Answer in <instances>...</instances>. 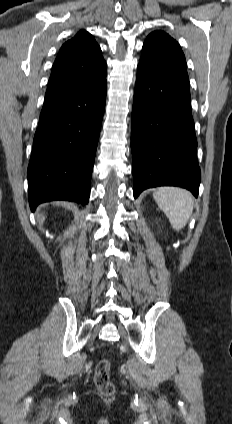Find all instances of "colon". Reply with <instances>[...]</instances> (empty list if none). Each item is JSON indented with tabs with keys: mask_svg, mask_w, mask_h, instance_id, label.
<instances>
[{
	"mask_svg": "<svg viewBox=\"0 0 232 424\" xmlns=\"http://www.w3.org/2000/svg\"><path fill=\"white\" fill-rule=\"evenodd\" d=\"M111 362L108 359H102L97 363L94 382L98 391L105 395L111 396L115 392V386L110 378Z\"/></svg>",
	"mask_w": 232,
	"mask_h": 424,
	"instance_id": "obj_1",
	"label": "colon"
}]
</instances>
